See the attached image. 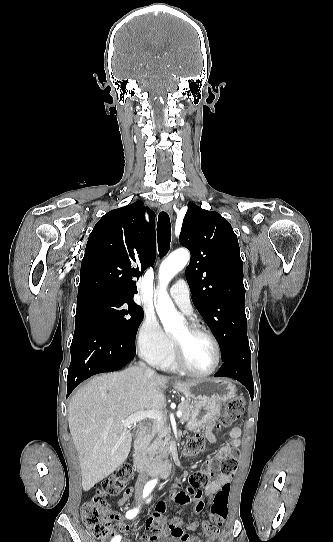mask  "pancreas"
Segmentation results:
<instances>
[{
  "label": "pancreas",
  "mask_w": 333,
  "mask_h": 542,
  "mask_svg": "<svg viewBox=\"0 0 333 542\" xmlns=\"http://www.w3.org/2000/svg\"><path fill=\"white\" fill-rule=\"evenodd\" d=\"M190 402H181L177 410L183 412L181 422H188L191 418ZM170 428L166 426V420H154L152 426H149L145 438H142L141 446H144L142 452L148 460H162L169 456Z\"/></svg>",
  "instance_id": "obj_1"
}]
</instances>
